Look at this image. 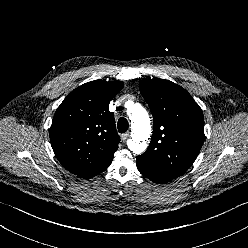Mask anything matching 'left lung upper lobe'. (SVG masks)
<instances>
[{
  "mask_svg": "<svg viewBox=\"0 0 248 248\" xmlns=\"http://www.w3.org/2000/svg\"><path fill=\"white\" fill-rule=\"evenodd\" d=\"M139 88L151 109L154 128L148 149L136 163L168 182L197 158L205 137L203 113L184 88L169 80L143 79Z\"/></svg>",
  "mask_w": 248,
  "mask_h": 248,
  "instance_id": "obj_1",
  "label": "left lung upper lobe"
}]
</instances>
